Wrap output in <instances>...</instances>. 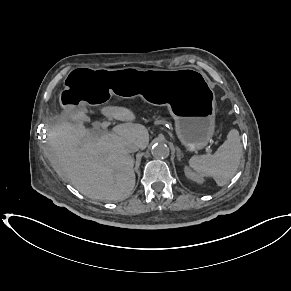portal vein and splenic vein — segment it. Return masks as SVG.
Returning a JSON list of instances; mask_svg holds the SVG:
<instances>
[{
    "mask_svg": "<svg viewBox=\"0 0 291 291\" xmlns=\"http://www.w3.org/2000/svg\"><path fill=\"white\" fill-rule=\"evenodd\" d=\"M96 132L95 134L96 135H102V134H105L107 133V129H108V123L106 122H103L101 123L100 125H96ZM209 153L211 152V150H207Z\"/></svg>",
    "mask_w": 291,
    "mask_h": 291,
    "instance_id": "portal-vein-and-splenic-vein-1",
    "label": "portal vein and splenic vein"
}]
</instances>
